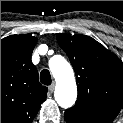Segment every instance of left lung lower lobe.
<instances>
[{
  "instance_id": "obj_1",
  "label": "left lung lower lobe",
  "mask_w": 123,
  "mask_h": 123,
  "mask_svg": "<svg viewBox=\"0 0 123 123\" xmlns=\"http://www.w3.org/2000/svg\"><path fill=\"white\" fill-rule=\"evenodd\" d=\"M64 117L67 123H112L114 120L111 117L94 113L77 105L67 109Z\"/></svg>"
}]
</instances>
